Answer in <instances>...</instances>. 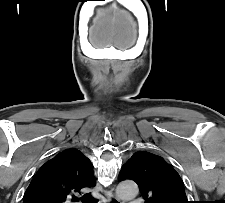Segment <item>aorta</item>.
<instances>
[{"label":"aorta","instance_id":"obj_1","mask_svg":"<svg viewBox=\"0 0 225 203\" xmlns=\"http://www.w3.org/2000/svg\"><path fill=\"white\" fill-rule=\"evenodd\" d=\"M138 186L133 181H123L118 184L116 193L121 199H132L138 194Z\"/></svg>","mask_w":225,"mask_h":203}]
</instances>
